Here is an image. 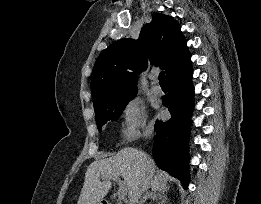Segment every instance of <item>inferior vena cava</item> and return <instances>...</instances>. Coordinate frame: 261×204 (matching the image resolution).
Masks as SVG:
<instances>
[{
  "label": "inferior vena cava",
  "instance_id": "inferior-vena-cava-1",
  "mask_svg": "<svg viewBox=\"0 0 261 204\" xmlns=\"http://www.w3.org/2000/svg\"><path fill=\"white\" fill-rule=\"evenodd\" d=\"M152 134L151 131H148L146 133V138L149 137ZM148 181V176H146L143 180V182L141 183V185L133 192L131 198H130V203L129 204H137L138 203V199L141 196V194L147 189L146 187V183Z\"/></svg>",
  "mask_w": 261,
  "mask_h": 204
}]
</instances>
